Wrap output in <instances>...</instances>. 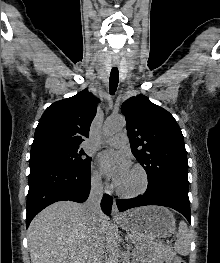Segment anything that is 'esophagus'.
Segmentation results:
<instances>
[{
	"instance_id": "1",
	"label": "esophagus",
	"mask_w": 220,
	"mask_h": 263,
	"mask_svg": "<svg viewBox=\"0 0 220 263\" xmlns=\"http://www.w3.org/2000/svg\"><path fill=\"white\" fill-rule=\"evenodd\" d=\"M111 215H112L113 217H115V218L121 216V213L119 212L118 207H117V205H116L115 199H114V201H113V206H112Z\"/></svg>"
}]
</instances>
